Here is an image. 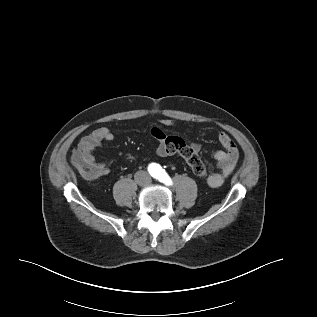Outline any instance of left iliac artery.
<instances>
[{
    "label": "left iliac artery",
    "mask_w": 317,
    "mask_h": 317,
    "mask_svg": "<svg viewBox=\"0 0 317 317\" xmlns=\"http://www.w3.org/2000/svg\"><path fill=\"white\" fill-rule=\"evenodd\" d=\"M157 179H158L160 182H162V183H164L165 185H167V186L173 185V182H172L171 178H170L169 175L165 172V170H161V171H160V173H159Z\"/></svg>",
    "instance_id": "obj_1"
}]
</instances>
